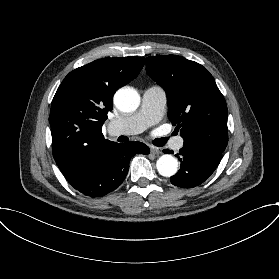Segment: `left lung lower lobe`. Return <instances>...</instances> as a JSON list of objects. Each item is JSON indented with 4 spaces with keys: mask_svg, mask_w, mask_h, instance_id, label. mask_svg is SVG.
Masks as SVG:
<instances>
[{
    "mask_svg": "<svg viewBox=\"0 0 279 279\" xmlns=\"http://www.w3.org/2000/svg\"><path fill=\"white\" fill-rule=\"evenodd\" d=\"M165 153L172 151L165 149ZM181 162L179 172L170 178L173 185L193 188L203 183L216 169L222 153L203 146H186L176 154Z\"/></svg>",
    "mask_w": 279,
    "mask_h": 279,
    "instance_id": "obj_1",
    "label": "left lung lower lobe"
}]
</instances>
